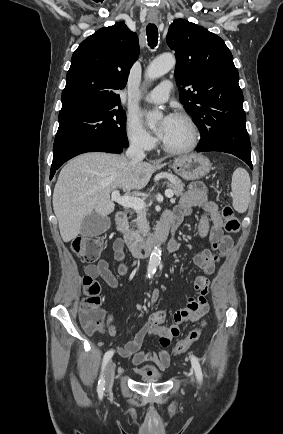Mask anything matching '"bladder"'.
Segmentation results:
<instances>
[{
  "mask_svg": "<svg viewBox=\"0 0 283 434\" xmlns=\"http://www.w3.org/2000/svg\"><path fill=\"white\" fill-rule=\"evenodd\" d=\"M135 373L143 380V381H159L162 379L163 375L152 365L144 366L139 370H135Z\"/></svg>",
  "mask_w": 283,
  "mask_h": 434,
  "instance_id": "bladder-1",
  "label": "bladder"
}]
</instances>
